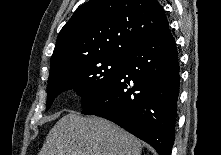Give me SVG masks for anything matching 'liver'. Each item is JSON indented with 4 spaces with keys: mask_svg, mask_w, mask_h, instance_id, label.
Returning <instances> with one entry per match:
<instances>
[{
    "mask_svg": "<svg viewBox=\"0 0 221 155\" xmlns=\"http://www.w3.org/2000/svg\"><path fill=\"white\" fill-rule=\"evenodd\" d=\"M142 147L108 120L70 112L50 130L39 155H141Z\"/></svg>",
    "mask_w": 221,
    "mask_h": 155,
    "instance_id": "6515ba94",
    "label": "liver"
}]
</instances>
